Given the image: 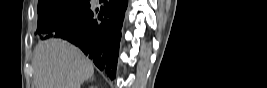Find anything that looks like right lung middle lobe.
<instances>
[{"label":"right lung middle lobe","instance_id":"obj_1","mask_svg":"<svg viewBox=\"0 0 267 88\" xmlns=\"http://www.w3.org/2000/svg\"><path fill=\"white\" fill-rule=\"evenodd\" d=\"M90 5L89 0H39L36 34L47 39L61 23L69 21Z\"/></svg>","mask_w":267,"mask_h":88}]
</instances>
